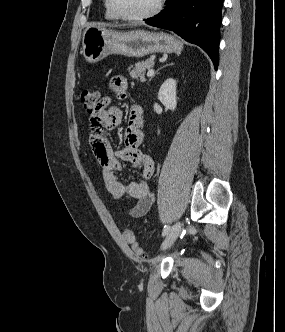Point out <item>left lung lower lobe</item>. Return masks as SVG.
<instances>
[{"label":"left lung lower lobe","instance_id":"0a47b994","mask_svg":"<svg viewBox=\"0 0 285 332\" xmlns=\"http://www.w3.org/2000/svg\"><path fill=\"white\" fill-rule=\"evenodd\" d=\"M222 6L223 0H168L163 12L144 21L200 46L217 69Z\"/></svg>","mask_w":285,"mask_h":332}]
</instances>
